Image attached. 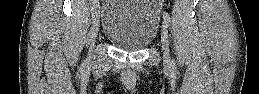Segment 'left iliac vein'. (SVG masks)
I'll use <instances>...</instances> for the list:
<instances>
[{
  "instance_id": "1",
  "label": "left iliac vein",
  "mask_w": 259,
  "mask_h": 94,
  "mask_svg": "<svg viewBox=\"0 0 259 94\" xmlns=\"http://www.w3.org/2000/svg\"><path fill=\"white\" fill-rule=\"evenodd\" d=\"M168 23L163 21V29L161 33V47L163 52V61L166 65L170 64V55H169V41H168Z\"/></svg>"
}]
</instances>
